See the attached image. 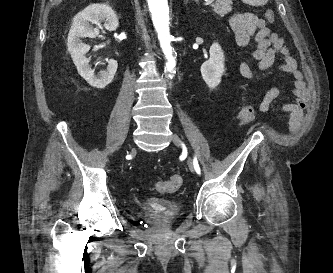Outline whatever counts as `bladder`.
<instances>
[{
  "label": "bladder",
  "instance_id": "1",
  "mask_svg": "<svg viewBox=\"0 0 333 273\" xmlns=\"http://www.w3.org/2000/svg\"><path fill=\"white\" fill-rule=\"evenodd\" d=\"M144 215L158 226H170L179 213L178 203L171 200L147 203L142 207Z\"/></svg>",
  "mask_w": 333,
  "mask_h": 273
}]
</instances>
